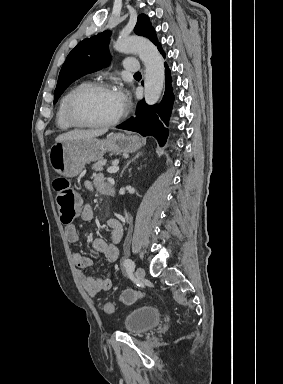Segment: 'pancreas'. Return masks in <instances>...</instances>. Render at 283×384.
Segmentation results:
<instances>
[{
    "instance_id": "pancreas-1",
    "label": "pancreas",
    "mask_w": 283,
    "mask_h": 384,
    "mask_svg": "<svg viewBox=\"0 0 283 384\" xmlns=\"http://www.w3.org/2000/svg\"><path fill=\"white\" fill-rule=\"evenodd\" d=\"M107 160H99V162H96V164H93L92 170H95V172H102L103 166H106Z\"/></svg>"
}]
</instances>
